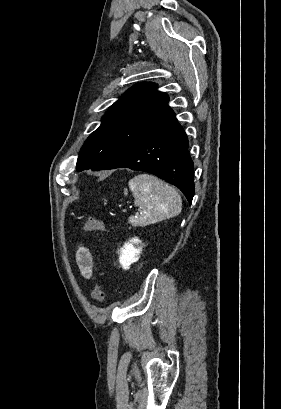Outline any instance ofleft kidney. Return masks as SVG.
<instances>
[{"mask_svg":"<svg viewBox=\"0 0 281 409\" xmlns=\"http://www.w3.org/2000/svg\"><path fill=\"white\" fill-rule=\"evenodd\" d=\"M139 243L141 241L135 237V239H131L129 243H125L124 247L120 249L119 263L123 269H130V265L138 261L142 249L141 247H134V245H139Z\"/></svg>","mask_w":281,"mask_h":409,"instance_id":"obj_1","label":"left kidney"}]
</instances>
